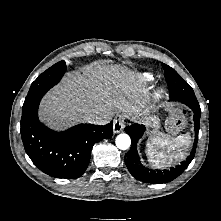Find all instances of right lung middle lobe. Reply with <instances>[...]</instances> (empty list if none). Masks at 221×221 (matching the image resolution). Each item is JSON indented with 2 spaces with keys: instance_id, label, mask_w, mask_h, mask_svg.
<instances>
[{
  "instance_id": "right-lung-middle-lobe-1",
  "label": "right lung middle lobe",
  "mask_w": 221,
  "mask_h": 221,
  "mask_svg": "<svg viewBox=\"0 0 221 221\" xmlns=\"http://www.w3.org/2000/svg\"><path fill=\"white\" fill-rule=\"evenodd\" d=\"M65 71V61H60L43 72L31 84L23 104V112L37 106L44 94L61 80Z\"/></svg>"
}]
</instances>
